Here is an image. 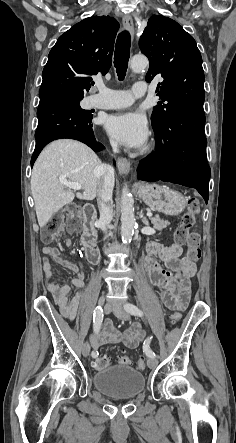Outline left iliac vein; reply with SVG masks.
<instances>
[{
	"label": "left iliac vein",
	"instance_id": "obj_1",
	"mask_svg": "<svg viewBox=\"0 0 236 443\" xmlns=\"http://www.w3.org/2000/svg\"><path fill=\"white\" fill-rule=\"evenodd\" d=\"M112 312L117 318L121 320L127 321L130 319L129 313L122 306L117 305L112 307ZM147 364L150 369H155L158 365V361L156 358H149Z\"/></svg>",
	"mask_w": 236,
	"mask_h": 443
}]
</instances>
